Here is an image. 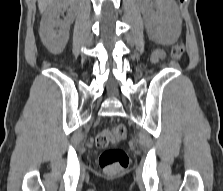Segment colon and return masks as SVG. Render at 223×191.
<instances>
[{
  "instance_id": "5ec220e1",
  "label": "colon",
  "mask_w": 223,
  "mask_h": 191,
  "mask_svg": "<svg viewBox=\"0 0 223 191\" xmlns=\"http://www.w3.org/2000/svg\"><path fill=\"white\" fill-rule=\"evenodd\" d=\"M184 49L178 45L172 50V57L179 60L183 55ZM126 138V130L123 125H118L113 130H105L99 133L95 138L97 148L103 149L99 156V165L105 171H120L125 170L129 165L127 153L120 148L110 147L108 144H117L119 141Z\"/></svg>"
}]
</instances>
